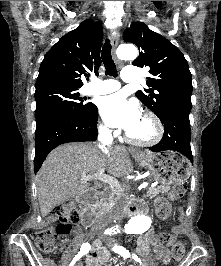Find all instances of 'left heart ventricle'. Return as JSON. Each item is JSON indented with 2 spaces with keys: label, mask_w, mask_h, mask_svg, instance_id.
<instances>
[{
  "label": "left heart ventricle",
  "mask_w": 221,
  "mask_h": 266,
  "mask_svg": "<svg viewBox=\"0 0 221 266\" xmlns=\"http://www.w3.org/2000/svg\"><path fill=\"white\" fill-rule=\"evenodd\" d=\"M128 132L135 138L143 139L151 135L152 127L148 120L142 117L139 123Z\"/></svg>",
  "instance_id": "obj_1"
}]
</instances>
